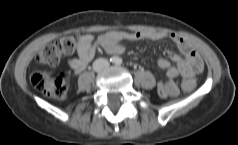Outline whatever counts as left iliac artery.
<instances>
[{"label":"left iliac artery","mask_w":238,"mask_h":145,"mask_svg":"<svg viewBox=\"0 0 238 145\" xmlns=\"http://www.w3.org/2000/svg\"><path fill=\"white\" fill-rule=\"evenodd\" d=\"M116 64H117V65H121V64H122V59H121V58H118Z\"/></svg>","instance_id":"obj_1"}]
</instances>
